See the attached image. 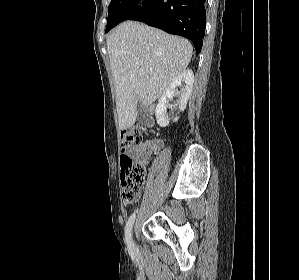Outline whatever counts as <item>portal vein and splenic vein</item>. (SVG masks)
Here are the masks:
<instances>
[{
    "label": "portal vein and splenic vein",
    "instance_id": "18ae733b",
    "mask_svg": "<svg viewBox=\"0 0 299 280\" xmlns=\"http://www.w3.org/2000/svg\"><path fill=\"white\" fill-rule=\"evenodd\" d=\"M145 73V71L143 69L139 70V74L143 75Z\"/></svg>",
    "mask_w": 299,
    "mask_h": 280
}]
</instances>
